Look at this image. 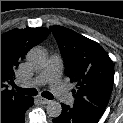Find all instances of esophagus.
<instances>
[{
  "instance_id": "34e87169",
  "label": "esophagus",
  "mask_w": 123,
  "mask_h": 123,
  "mask_svg": "<svg viewBox=\"0 0 123 123\" xmlns=\"http://www.w3.org/2000/svg\"><path fill=\"white\" fill-rule=\"evenodd\" d=\"M39 101L42 103V104H49L51 101L46 99V98H43V97H40L39 98Z\"/></svg>"
}]
</instances>
